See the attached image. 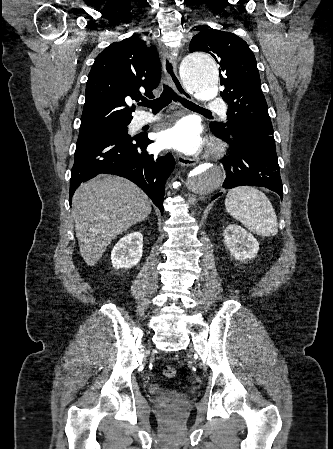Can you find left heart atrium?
I'll return each mask as SVG.
<instances>
[{"instance_id": "1", "label": "left heart atrium", "mask_w": 333, "mask_h": 449, "mask_svg": "<svg viewBox=\"0 0 333 449\" xmlns=\"http://www.w3.org/2000/svg\"><path fill=\"white\" fill-rule=\"evenodd\" d=\"M158 141L164 147L173 148L186 154L198 152L201 146L197 128L186 120L179 121L173 127L159 133Z\"/></svg>"}]
</instances>
